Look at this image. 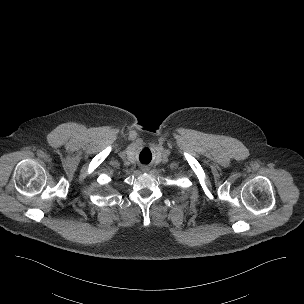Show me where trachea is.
<instances>
[{"label":"trachea","mask_w":304,"mask_h":304,"mask_svg":"<svg viewBox=\"0 0 304 304\" xmlns=\"http://www.w3.org/2000/svg\"><path fill=\"white\" fill-rule=\"evenodd\" d=\"M140 161L142 162V163H145V164H147V163H149L150 161H151V151L149 150V149H142L141 151H140Z\"/></svg>","instance_id":"1"}]
</instances>
